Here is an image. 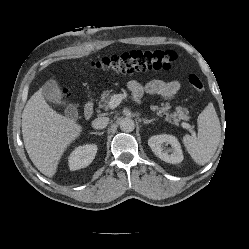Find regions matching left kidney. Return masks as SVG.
Instances as JSON below:
<instances>
[{"mask_svg":"<svg viewBox=\"0 0 249 249\" xmlns=\"http://www.w3.org/2000/svg\"><path fill=\"white\" fill-rule=\"evenodd\" d=\"M164 144H169L171 148L165 151L163 149ZM148 145L157 157L167 163L177 164L183 161L180 143L173 135L160 134L152 136L148 140Z\"/></svg>","mask_w":249,"mask_h":249,"instance_id":"1","label":"left kidney"}]
</instances>
